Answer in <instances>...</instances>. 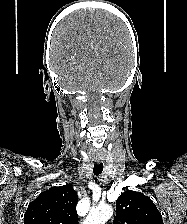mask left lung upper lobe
Returning <instances> with one entry per match:
<instances>
[{
    "instance_id": "5c2ea615",
    "label": "left lung upper lobe",
    "mask_w": 187,
    "mask_h": 224,
    "mask_svg": "<svg viewBox=\"0 0 187 224\" xmlns=\"http://www.w3.org/2000/svg\"><path fill=\"white\" fill-rule=\"evenodd\" d=\"M114 224H163V220L149 197L127 190L116 201Z\"/></svg>"
}]
</instances>
